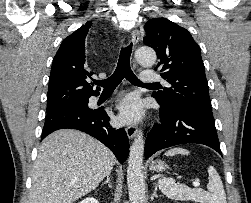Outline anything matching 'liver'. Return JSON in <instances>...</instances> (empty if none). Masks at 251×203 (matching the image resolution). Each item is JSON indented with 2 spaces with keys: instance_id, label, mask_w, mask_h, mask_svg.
I'll list each match as a JSON object with an SVG mask.
<instances>
[{
  "instance_id": "liver-1",
  "label": "liver",
  "mask_w": 251,
  "mask_h": 203,
  "mask_svg": "<svg viewBox=\"0 0 251 203\" xmlns=\"http://www.w3.org/2000/svg\"><path fill=\"white\" fill-rule=\"evenodd\" d=\"M114 154L76 130H58L38 147L29 203H73L111 173Z\"/></svg>"
}]
</instances>
